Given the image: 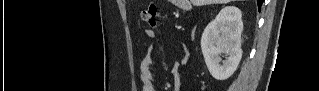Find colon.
Here are the masks:
<instances>
[{"label": "colon", "mask_w": 319, "mask_h": 91, "mask_svg": "<svg viewBox=\"0 0 319 91\" xmlns=\"http://www.w3.org/2000/svg\"><path fill=\"white\" fill-rule=\"evenodd\" d=\"M156 13H157V6L155 4H150L145 9L142 10L141 19L150 27L156 28L158 26Z\"/></svg>", "instance_id": "obj_1"}]
</instances>
